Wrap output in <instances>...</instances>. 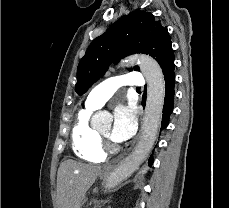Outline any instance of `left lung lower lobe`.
I'll return each instance as SVG.
<instances>
[{
    "label": "left lung lower lobe",
    "instance_id": "left-lung-lower-lobe-1",
    "mask_svg": "<svg viewBox=\"0 0 229 208\" xmlns=\"http://www.w3.org/2000/svg\"><path fill=\"white\" fill-rule=\"evenodd\" d=\"M174 60H171L164 70L165 79V99L162 114L161 129H164L169 123V116L173 111L174 107V84H175V73H174ZM142 105L145 107V97L142 100ZM149 166L153 164V157L151 156L148 161Z\"/></svg>",
    "mask_w": 229,
    "mask_h": 208
}]
</instances>
